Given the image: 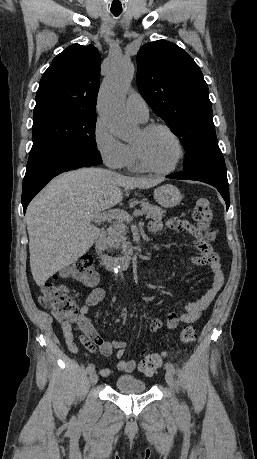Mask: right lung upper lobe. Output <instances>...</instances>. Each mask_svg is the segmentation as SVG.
<instances>
[{
  "label": "right lung upper lobe",
  "instance_id": "cb5924a9",
  "mask_svg": "<svg viewBox=\"0 0 257 459\" xmlns=\"http://www.w3.org/2000/svg\"><path fill=\"white\" fill-rule=\"evenodd\" d=\"M100 62L93 45L66 48L43 74L34 112L66 108L96 114Z\"/></svg>",
  "mask_w": 257,
  "mask_h": 459
}]
</instances>
